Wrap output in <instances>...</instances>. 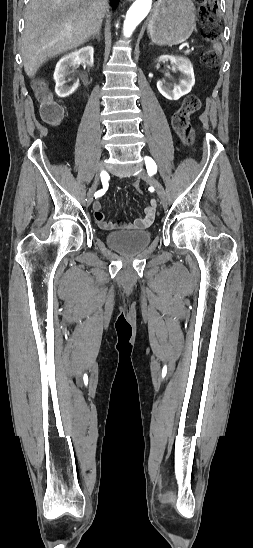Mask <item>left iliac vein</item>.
I'll use <instances>...</instances> for the list:
<instances>
[{"mask_svg": "<svg viewBox=\"0 0 253 548\" xmlns=\"http://www.w3.org/2000/svg\"><path fill=\"white\" fill-rule=\"evenodd\" d=\"M138 176L146 180L150 185L155 188V191L160 198L161 203L164 205L166 202V192L162 184L156 178L149 176L143 169L139 172Z\"/></svg>", "mask_w": 253, "mask_h": 548, "instance_id": "left-iliac-vein-1", "label": "left iliac vein"}]
</instances>
